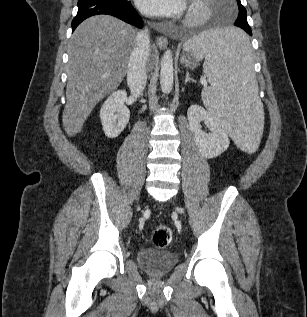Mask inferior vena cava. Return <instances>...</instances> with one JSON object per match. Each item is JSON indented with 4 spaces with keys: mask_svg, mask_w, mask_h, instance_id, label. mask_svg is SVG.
I'll list each match as a JSON object with an SVG mask.
<instances>
[{
    "mask_svg": "<svg viewBox=\"0 0 307 317\" xmlns=\"http://www.w3.org/2000/svg\"><path fill=\"white\" fill-rule=\"evenodd\" d=\"M150 39L148 30H141L136 36V45L128 62L127 84L131 98L142 95L147 81L146 66L149 57Z\"/></svg>",
    "mask_w": 307,
    "mask_h": 317,
    "instance_id": "602c4592",
    "label": "inferior vena cava"
}]
</instances>
